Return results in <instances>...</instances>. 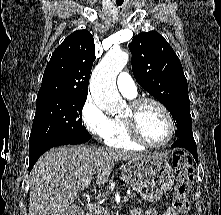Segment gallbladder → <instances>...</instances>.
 I'll return each mask as SVG.
<instances>
[{
    "label": "gallbladder",
    "instance_id": "bac80fb5",
    "mask_svg": "<svg viewBox=\"0 0 221 215\" xmlns=\"http://www.w3.org/2000/svg\"><path fill=\"white\" fill-rule=\"evenodd\" d=\"M82 210L76 205H71L63 215H82Z\"/></svg>",
    "mask_w": 221,
    "mask_h": 215
}]
</instances>
